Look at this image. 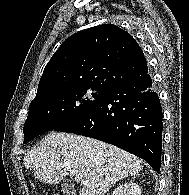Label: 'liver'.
Segmentation results:
<instances>
[{
    "label": "liver",
    "mask_w": 189,
    "mask_h": 195,
    "mask_svg": "<svg viewBox=\"0 0 189 195\" xmlns=\"http://www.w3.org/2000/svg\"><path fill=\"white\" fill-rule=\"evenodd\" d=\"M23 161L24 167L44 183L58 184L67 175L89 181L80 195H104L117 181L143 168L140 158L116 146L54 131L28 151Z\"/></svg>",
    "instance_id": "6515ba94"
}]
</instances>
